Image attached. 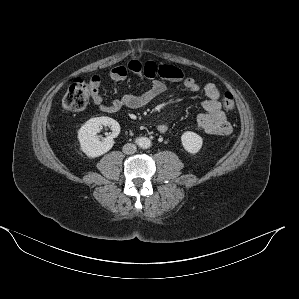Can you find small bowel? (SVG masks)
I'll return each instance as SVG.
<instances>
[{"label":"small bowel","instance_id":"c3829d8e","mask_svg":"<svg viewBox=\"0 0 299 299\" xmlns=\"http://www.w3.org/2000/svg\"><path fill=\"white\" fill-rule=\"evenodd\" d=\"M130 74L140 78L152 79L150 88L141 95L128 94L119 99L106 102L99 91L101 83L104 81H124ZM93 79L94 83L91 91L93 103L101 111L107 113L117 112L123 107L129 109L144 107L166 90L164 81L179 83L191 92H202L206 96L202 103L204 112L200 113L196 120V126L200 131L209 135H226L231 132V126L222 110L219 88L212 83L202 85L175 66L159 64L154 61L142 64L140 61L132 59L125 65L114 67L104 77L95 76ZM157 129L161 134H165L168 126L161 124Z\"/></svg>","mask_w":299,"mask_h":299}]
</instances>
